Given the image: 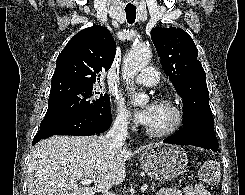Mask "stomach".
Segmentation results:
<instances>
[{"label":"stomach","instance_id":"1","mask_svg":"<svg viewBox=\"0 0 245 195\" xmlns=\"http://www.w3.org/2000/svg\"><path fill=\"white\" fill-rule=\"evenodd\" d=\"M148 176L158 181H170L187 170L188 157L179 146L156 144L145 148L139 156Z\"/></svg>","mask_w":245,"mask_h":195}]
</instances>
